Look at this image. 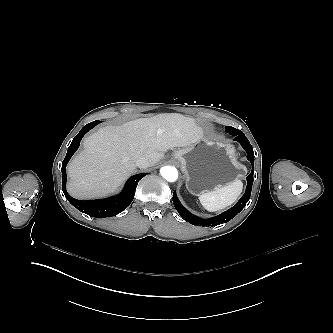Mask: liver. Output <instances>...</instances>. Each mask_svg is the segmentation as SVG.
<instances>
[{
  "mask_svg": "<svg viewBox=\"0 0 333 333\" xmlns=\"http://www.w3.org/2000/svg\"><path fill=\"white\" fill-rule=\"evenodd\" d=\"M202 136L192 119L174 113L101 128L85 139V151L69 165V190L80 198L106 195L137 169L139 157L153 166L167 150L194 146Z\"/></svg>",
  "mask_w": 333,
  "mask_h": 333,
  "instance_id": "1",
  "label": "liver"
}]
</instances>
